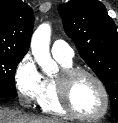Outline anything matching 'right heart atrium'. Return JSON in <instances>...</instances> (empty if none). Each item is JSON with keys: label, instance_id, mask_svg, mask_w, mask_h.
<instances>
[{"label": "right heart atrium", "instance_id": "1", "mask_svg": "<svg viewBox=\"0 0 118 123\" xmlns=\"http://www.w3.org/2000/svg\"><path fill=\"white\" fill-rule=\"evenodd\" d=\"M14 82L19 100L24 105H32L38 102L43 87L44 78L30 55H25L14 72Z\"/></svg>", "mask_w": 118, "mask_h": 123}]
</instances>
